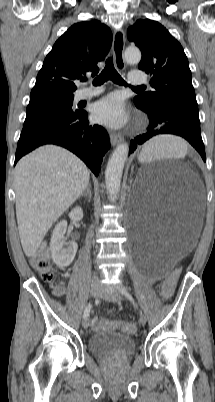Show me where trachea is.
Returning a JSON list of instances; mask_svg holds the SVG:
<instances>
[{"instance_id":"obj_1","label":"trachea","mask_w":215,"mask_h":402,"mask_svg":"<svg viewBox=\"0 0 215 402\" xmlns=\"http://www.w3.org/2000/svg\"><path fill=\"white\" fill-rule=\"evenodd\" d=\"M108 80H112L114 83L119 84V85L127 86V83L123 80V78L118 74V72L114 68L113 57H110L106 60V65H105L104 69L94 79L93 84L95 86H98ZM82 81H86V78H83ZM132 88H134V87H132ZM136 88H143V86H138Z\"/></svg>"}]
</instances>
